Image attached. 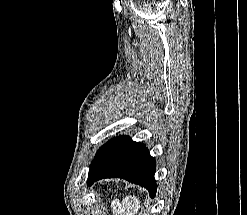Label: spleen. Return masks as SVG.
<instances>
[{
  "label": "spleen",
  "mask_w": 247,
  "mask_h": 215,
  "mask_svg": "<svg viewBox=\"0 0 247 215\" xmlns=\"http://www.w3.org/2000/svg\"><path fill=\"white\" fill-rule=\"evenodd\" d=\"M111 206L113 208V215H137L140 201L136 196H126L122 204L118 200H114Z\"/></svg>",
  "instance_id": "3e777b00"
}]
</instances>
